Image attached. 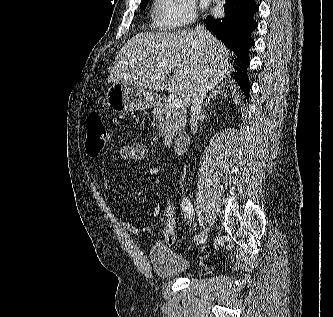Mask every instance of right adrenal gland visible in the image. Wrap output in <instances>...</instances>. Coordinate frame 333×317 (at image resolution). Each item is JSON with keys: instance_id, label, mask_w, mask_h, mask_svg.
<instances>
[{"instance_id": "2a0ac1e0", "label": "right adrenal gland", "mask_w": 333, "mask_h": 317, "mask_svg": "<svg viewBox=\"0 0 333 317\" xmlns=\"http://www.w3.org/2000/svg\"><path fill=\"white\" fill-rule=\"evenodd\" d=\"M222 87H223V85H217L215 88H213L211 94L209 95L208 99L204 103L203 108H206L207 105L210 103V101L212 99L216 98L218 95L227 96V93H225L224 90H222Z\"/></svg>"}]
</instances>
